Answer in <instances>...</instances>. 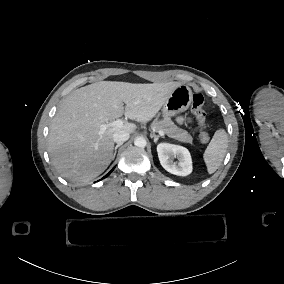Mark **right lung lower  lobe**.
<instances>
[{"instance_id": "obj_1", "label": "right lung lower lobe", "mask_w": 284, "mask_h": 284, "mask_svg": "<svg viewBox=\"0 0 284 284\" xmlns=\"http://www.w3.org/2000/svg\"><path fill=\"white\" fill-rule=\"evenodd\" d=\"M113 169H114V168H113ZM113 169H112L106 176H104V178L107 177V176L113 171Z\"/></svg>"}]
</instances>
